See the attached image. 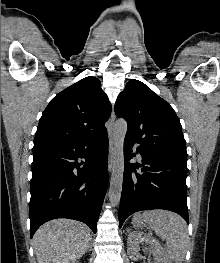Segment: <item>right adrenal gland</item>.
<instances>
[{
    "instance_id": "2a0ac1e0",
    "label": "right adrenal gland",
    "mask_w": 220,
    "mask_h": 263,
    "mask_svg": "<svg viewBox=\"0 0 220 263\" xmlns=\"http://www.w3.org/2000/svg\"><path fill=\"white\" fill-rule=\"evenodd\" d=\"M88 248H90V249H91V244H89V245H88Z\"/></svg>"
}]
</instances>
